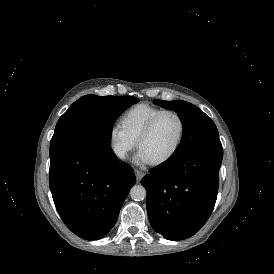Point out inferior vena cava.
Masks as SVG:
<instances>
[{"mask_svg": "<svg viewBox=\"0 0 274 274\" xmlns=\"http://www.w3.org/2000/svg\"><path fill=\"white\" fill-rule=\"evenodd\" d=\"M118 156H119L120 158H124V157H125V152H124V151H119V152H118Z\"/></svg>", "mask_w": 274, "mask_h": 274, "instance_id": "inferior-vena-cava-1", "label": "inferior vena cava"}]
</instances>
